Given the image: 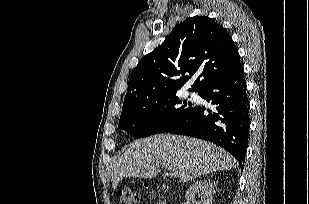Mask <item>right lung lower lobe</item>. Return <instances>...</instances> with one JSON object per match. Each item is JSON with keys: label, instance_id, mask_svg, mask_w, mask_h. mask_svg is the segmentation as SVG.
Instances as JSON below:
<instances>
[{"label": "right lung lower lobe", "instance_id": "obj_1", "mask_svg": "<svg viewBox=\"0 0 309 204\" xmlns=\"http://www.w3.org/2000/svg\"><path fill=\"white\" fill-rule=\"evenodd\" d=\"M199 96L211 102L212 110L193 106L167 132L213 142L231 153L243 169L250 127L243 67L209 83L199 91Z\"/></svg>", "mask_w": 309, "mask_h": 204}]
</instances>
